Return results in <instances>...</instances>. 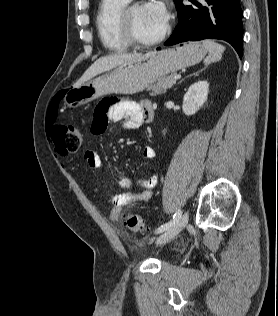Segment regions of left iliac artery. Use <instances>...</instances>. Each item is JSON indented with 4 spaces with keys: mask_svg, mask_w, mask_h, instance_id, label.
Instances as JSON below:
<instances>
[{
    "mask_svg": "<svg viewBox=\"0 0 278 316\" xmlns=\"http://www.w3.org/2000/svg\"><path fill=\"white\" fill-rule=\"evenodd\" d=\"M181 214H182L181 210L177 209L175 214L173 215V219L170 220L169 222L161 225L159 228H157L155 233H162V232L168 230L170 227H172L181 218Z\"/></svg>",
    "mask_w": 278,
    "mask_h": 316,
    "instance_id": "obj_1",
    "label": "left iliac artery"
}]
</instances>
